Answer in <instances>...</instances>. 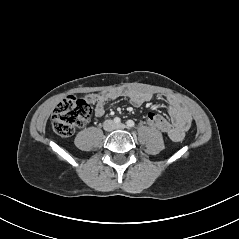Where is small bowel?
<instances>
[{
	"label": "small bowel",
	"instance_id": "obj_1",
	"mask_svg": "<svg viewBox=\"0 0 239 239\" xmlns=\"http://www.w3.org/2000/svg\"><path fill=\"white\" fill-rule=\"evenodd\" d=\"M119 97L128 98L135 106H140L146 102H152L155 99L154 94L135 88L104 91L97 96L95 104L96 117H102L105 114L107 103ZM166 99L168 103L167 110L171 122H169V129L163 133L172 141L179 142L184 138L186 131L189 129L192 118L188 110L176 97L168 95Z\"/></svg>",
	"mask_w": 239,
	"mask_h": 239
}]
</instances>
